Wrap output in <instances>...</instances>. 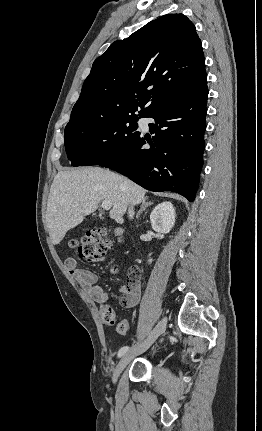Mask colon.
I'll return each instance as SVG.
<instances>
[{
    "instance_id": "colon-1",
    "label": "colon",
    "mask_w": 262,
    "mask_h": 431,
    "mask_svg": "<svg viewBox=\"0 0 262 431\" xmlns=\"http://www.w3.org/2000/svg\"><path fill=\"white\" fill-rule=\"evenodd\" d=\"M103 230H94L88 233L82 239H71L68 243L69 249L73 250L77 257L83 261H94L96 258L105 255L111 248V244L104 238ZM136 275V271H132ZM102 320L106 324H113L114 318L111 311L107 314H101ZM116 329L120 334H126L129 331V325L126 320H121L116 324Z\"/></svg>"
}]
</instances>
